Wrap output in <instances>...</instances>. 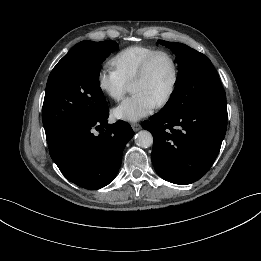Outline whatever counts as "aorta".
Wrapping results in <instances>:
<instances>
[{
  "instance_id": "1",
  "label": "aorta",
  "mask_w": 261,
  "mask_h": 261,
  "mask_svg": "<svg viewBox=\"0 0 261 261\" xmlns=\"http://www.w3.org/2000/svg\"><path fill=\"white\" fill-rule=\"evenodd\" d=\"M135 143L141 148H149L153 144V136L147 130H141L135 135Z\"/></svg>"
}]
</instances>
